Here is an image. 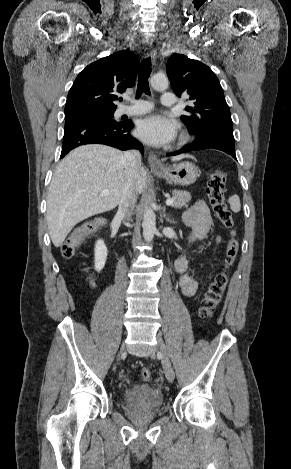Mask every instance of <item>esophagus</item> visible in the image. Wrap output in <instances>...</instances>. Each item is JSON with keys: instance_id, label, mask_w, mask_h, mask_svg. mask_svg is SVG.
Here are the masks:
<instances>
[{"instance_id": "esophagus-1", "label": "esophagus", "mask_w": 291, "mask_h": 469, "mask_svg": "<svg viewBox=\"0 0 291 469\" xmlns=\"http://www.w3.org/2000/svg\"><path fill=\"white\" fill-rule=\"evenodd\" d=\"M147 50L149 51V55L151 56L152 61L155 64V62H156V51L153 49L152 44H148ZM148 164L153 169L163 168V164L158 159V157L153 153H149V155H148Z\"/></svg>"}]
</instances>
